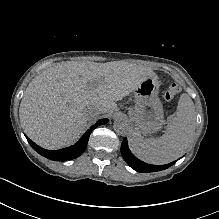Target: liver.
Masks as SVG:
<instances>
[{"mask_svg":"<svg viewBox=\"0 0 219 219\" xmlns=\"http://www.w3.org/2000/svg\"><path fill=\"white\" fill-rule=\"evenodd\" d=\"M149 74L144 67L120 62H65L46 68L24 92L19 107L21 126L43 149L69 147L80 138L87 120L115 111L116 101Z\"/></svg>","mask_w":219,"mask_h":219,"instance_id":"liver-1","label":"liver"}]
</instances>
